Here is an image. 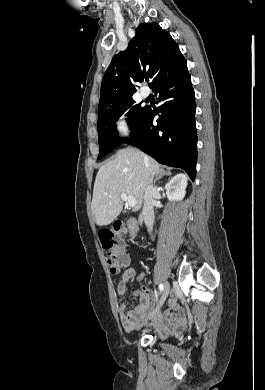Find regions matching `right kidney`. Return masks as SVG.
Instances as JSON below:
<instances>
[{"mask_svg":"<svg viewBox=\"0 0 265 390\" xmlns=\"http://www.w3.org/2000/svg\"><path fill=\"white\" fill-rule=\"evenodd\" d=\"M188 178L184 174H177L166 185L167 198L170 201H181L185 197Z\"/></svg>","mask_w":265,"mask_h":390,"instance_id":"1","label":"right kidney"}]
</instances>
